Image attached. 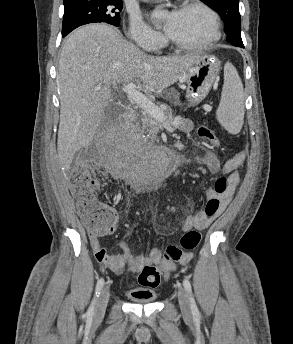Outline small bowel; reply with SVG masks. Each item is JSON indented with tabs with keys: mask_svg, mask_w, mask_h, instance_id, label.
Returning <instances> with one entry per match:
<instances>
[{
	"mask_svg": "<svg viewBox=\"0 0 293 344\" xmlns=\"http://www.w3.org/2000/svg\"><path fill=\"white\" fill-rule=\"evenodd\" d=\"M179 129L184 132H189L192 129V123L187 118H182L179 122ZM194 161L199 165L204 166L211 174L225 173L228 174V191L224 195H217L215 190L207 189L204 191V198L209 201L212 198L220 200V207L218 212L213 216H208L204 210H198L194 214L188 215L183 221V230H190L196 228L199 230L206 229L210 223L221 215L229 205L235 190L240 183V176L238 169L243 166L245 155L243 153L237 154L225 163L221 164L217 156L209 149H201L195 152L188 160ZM116 229V223L114 230ZM91 247L95 253L97 261L105 268H108L116 275H122L126 266L130 271L139 273L145 266L161 262V251L158 248H152L147 256L134 255L131 247L127 242H122L119 246L120 253L116 255H109L105 248L100 244L98 237L90 238ZM193 258L192 253H187L179 261L181 265L188 264ZM173 268V265L167 266V270ZM134 296L149 295L151 292L147 289L132 290Z\"/></svg>",
	"mask_w": 293,
	"mask_h": 344,
	"instance_id": "c3829d8e",
	"label": "small bowel"
}]
</instances>
